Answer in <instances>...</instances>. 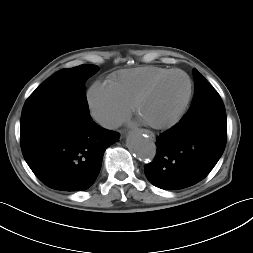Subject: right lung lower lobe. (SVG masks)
Returning a JSON list of instances; mask_svg holds the SVG:
<instances>
[{"mask_svg":"<svg viewBox=\"0 0 253 253\" xmlns=\"http://www.w3.org/2000/svg\"><path fill=\"white\" fill-rule=\"evenodd\" d=\"M20 132L22 153L33 173L60 191L88 189L100 172L106 148L120 136L75 107L57 108L21 122Z\"/></svg>","mask_w":253,"mask_h":253,"instance_id":"right-lung-lower-lobe-1","label":"right lung lower lobe"}]
</instances>
